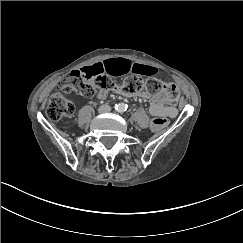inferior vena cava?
Instances as JSON below:
<instances>
[{"label":"inferior vena cava","instance_id":"obj_1","mask_svg":"<svg viewBox=\"0 0 243 243\" xmlns=\"http://www.w3.org/2000/svg\"><path fill=\"white\" fill-rule=\"evenodd\" d=\"M110 111H111V106L110 105L100 106L98 108V113L99 114H104L105 112H110Z\"/></svg>","mask_w":243,"mask_h":243}]
</instances>
